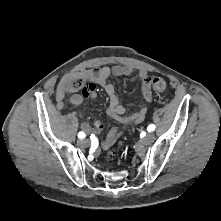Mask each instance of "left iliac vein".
I'll return each instance as SVG.
<instances>
[{
	"label": "left iliac vein",
	"mask_w": 221,
	"mask_h": 221,
	"mask_svg": "<svg viewBox=\"0 0 221 221\" xmlns=\"http://www.w3.org/2000/svg\"><path fill=\"white\" fill-rule=\"evenodd\" d=\"M155 140V136L152 133H148L144 138L140 140L143 145H149Z\"/></svg>",
	"instance_id": "4c4485c4"
}]
</instances>
